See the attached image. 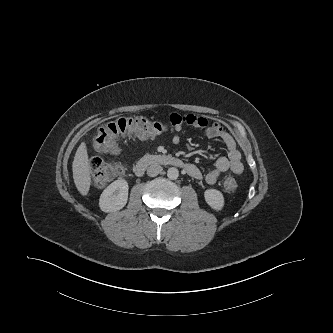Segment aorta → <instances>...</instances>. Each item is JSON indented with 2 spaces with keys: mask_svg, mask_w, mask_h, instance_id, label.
Segmentation results:
<instances>
[{
  "mask_svg": "<svg viewBox=\"0 0 333 333\" xmlns=\"http://www.w3.org/2000/svg\"><path fill=\"white\" fill-rule=\"evenodd\" d=\"M167 176L171 180H176L178 178V176H179L178 169L175 168V167L169 168L168 171H167Z\"/></svg>",
  "mask_w": 333,
  "mask_h": 333,
  "instance_id": "aorta-1",
  "label": "aorta"
}]
</instances>
